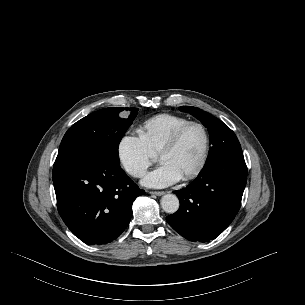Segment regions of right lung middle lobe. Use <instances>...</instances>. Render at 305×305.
<instances>
[{"label": "right lung middle lobe", "instance_id": "right-lung-middle-lobe-1", "mask_svg": "<svg viewBox=\"0 0 305 305\" xmlns=\"http://www.w3.org/2000/svg\"><path fill=\"white\" fill-rule=\"evenodd\" d=\"M124 110L131 111L126 119L119 116ZM137 111V108H105L82 118L65 133L56 161L91 155L119 166L118 146Z\"/></svg>", "mask_w": 305, "mask_h": 305}]
</instances>
